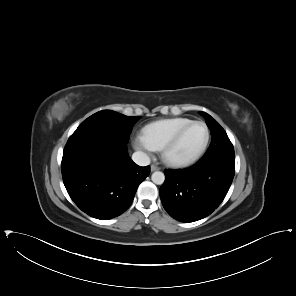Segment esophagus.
<instances>
[{"mask_svg":"<svg viewBox=\"0 0 296 296\" xmlns=\"http://www.w3.org/2000/svg\"><path fill=\"white\" fill-rule=\"evenodd\" d=\"M151 171L154 172V171H157L160 169V167L156 166V165H151Z\"/></svg>","mask_w":296,"mask_h":296,"instance_id":"esophagus-1","label":"esophagus"}]
</instances>
